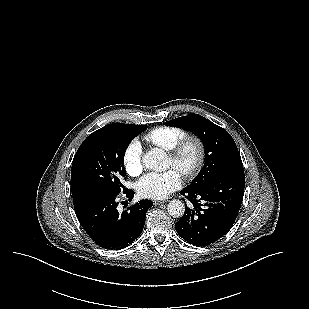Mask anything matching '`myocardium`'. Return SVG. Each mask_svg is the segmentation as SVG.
<instances>
[{
    "label": "myocardium",
    "instance_id": "obj_1",
    "mask_svg": "<svg viewBox=\"0 0 309 309\" xmlns=\"http://www.w3.org/2000/svg\"><path fill=\"white\" fill-rule=\"evenodd\" d=\"M194 145L197 149V157L189 168H182L180 174L185 179L194 178L203 168L206 160V147L204 141L197 135H186L168 151V157L175 167H180L182 157L188 146Z\"/></svg>",
    "mask_w": 309,
    "mask_h": 309
}]
</instances>
